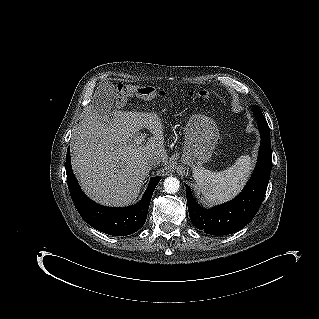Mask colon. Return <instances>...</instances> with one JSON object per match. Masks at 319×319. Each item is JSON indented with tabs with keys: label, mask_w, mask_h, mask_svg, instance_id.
<instances>
[{
	"label": "colon",
	"mask_w": 319,
	"mask_h": 319,
	"mask_svg": "<svg viewBox=\"0 0 319 319\" xmlns=\"http://www.w3.org/2000/svg\"><path fill=\"white\" fill-rule=\"evenodd\" d=\"M135 95L139 98L145 99V100H151L155 98L156 96H163V91H157L154 87L150 85H118L117 86V105L119 107H122L127 98L129 96ZM190 95H197L201 98H209L210 93L205 90H201L197 93L190 92Z\"/></svg>",
	"instance_id": "5ec220e1"
}]
</instances>
